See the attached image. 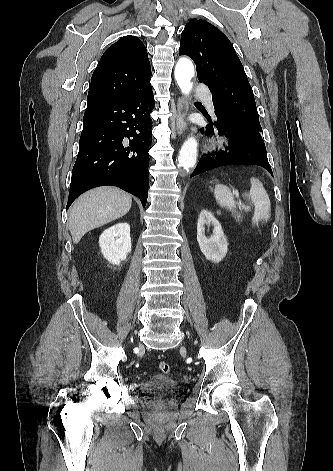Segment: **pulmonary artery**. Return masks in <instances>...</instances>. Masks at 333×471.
<instances>
[{"label":"pulmonary artery","instance_id":"pulmonary-artery-1","mask_svg":"<svg viewBox=\"0 0 333 471\" xmlns=\"http://www.w3.org/2000/svg\"><path fill=\"white\" fill-rule=\"evenodd\" d=\"M196 93L200 96H202L205 100V102L212 106V96L210 94V92L207 90L206 87L202 86V85H199L196 87Z\"/></svg>","mask_w":333,"mask_h":471}]
</instances>
